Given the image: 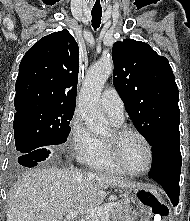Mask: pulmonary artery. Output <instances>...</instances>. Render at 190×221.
I'll return each instance as SVG.
<instances>
[{"label":"pulmonary artery","mask_w":190,"mask_h":221,"mask_svg":"<svg viewBox=\"0 0 190 221\" xmlns=\"http://www.w3.org/2000/svg\"><path fill=\"white\" fill-rule=\"evenodd\" d=\"M101 104L104 112L115 123L124 120V103L114 88H107L102 92Z\"/></svg>","instance_id":"e3ab8cb5"}]
</instances>
